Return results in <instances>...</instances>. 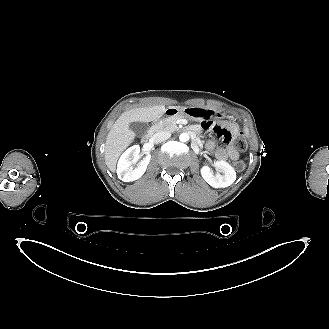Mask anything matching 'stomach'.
I'll list each match as a JSON object with an SVG mask.
<instances>
[{"mask_svg": "<svg viewBox=\"0 0 329 329\" xmlns=\"http://www.w3.org/2000/svg\"><path fill=\"white\" fill-rule=\"evenodd\" d=\"M170 111L169 115L177 116L182 115L186 116L189 119L197 120L198 118H208L214 119L218 116H221L220 112H216L207 108L200 107H181V108H168Z\"/></svg>", "mask_w": 329, "mask_h": 329, "instance_id": "1", "label": "stomach"}]
</instances>
